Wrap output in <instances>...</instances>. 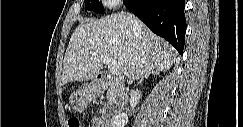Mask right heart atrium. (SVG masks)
I'll return each instance as SVG.
<instances>
[{"label": "right heart atrium", "mask_w": 243, "mask_h": 127, "mask_svg": "<svg viewBox=\"0 0 243 127\" xmlns=\"http://www.w3.org/2000/svg\"><path fill=\"white\" fill-rule=\"evenodd\" d=\"M121 0H106L105 3L108 5V6H111V7H116V6H119L121 4Z\"/></svg>", "instance_id": "d8ad5b80"}]
</instances>
